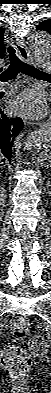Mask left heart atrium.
<instances>
[{
  "mask_svg": "<svg viewBox=\"0 0 51 393\" xmlns=\"http://www.w3.org/2000/svg\"><path fill=\"white\" fill-rule=\"evenodd\" d=\"M12 108L23 115L30 117L43 116L46 113V104L41 93L28 89L18 95L13 101Z\"/></svg>",
  "mask_w": 51,
  "mask_h": 393,
  "instance_id": "obj_1",
  "label": "left heart atrium"
}]
</instances>
